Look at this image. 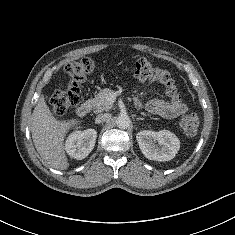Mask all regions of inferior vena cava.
I'll list each match as a JSON object with an SVG mask.
<instances>
[{"instance_id": "obj_1", "label": "inferior vena cava", "mask_w": 235, "mask_h": 235, "mask_svg": "<svg viewBox=\"0 0 235 235\" xmlns=\"http://www.w3.org/2000/svg\"><path fill=\"white\" fill-rule=\"evenodd\" d=\"M110 118V115L109 114H106V113H104V114H99V115H97L96 116V118H95V123H103V122H105L107 119H109Z\"/></svg>"}]
</instances>
